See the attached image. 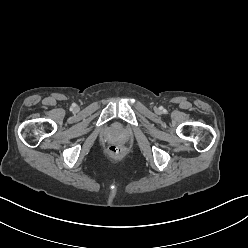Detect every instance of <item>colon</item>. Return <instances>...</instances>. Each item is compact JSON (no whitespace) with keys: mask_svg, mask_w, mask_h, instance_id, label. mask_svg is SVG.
<instances>
[{"mask_svg":"<svg viewBox=\"0 0 248 248\" xmlns=\"http://www.w3.org/2000/svg\"><path fill=\"white\" fill-rule=\"evenodd\" d=\"M109 155L113 158H119L124 155V149L119 145H111L108 149Z\"/></svg>","mask_w":248,"mask_h":248,"instance_id":"colon-1","label":"colon"}]
</instances>
